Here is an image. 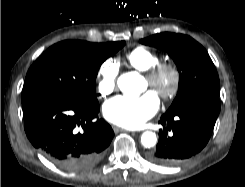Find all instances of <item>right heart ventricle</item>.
Masks as SVG:
<instances>
[{
  "mask_svg": "<svg viewBox=\"0 0 245 187\" xmlns=\"http://www.w3.org/2000/svg\"><path fill=\"white\" fill-rule=\"evenodd\" d=\"M125 57L130 66L141 72L148 71L160 62L159 53L145 46H136L128 50Z\"/></svg>",
  "mask_w": 245,
  "mask_h": 187,
  "instance_id": "1",
  "label": "right heart ventricle"
}]
</instances>
